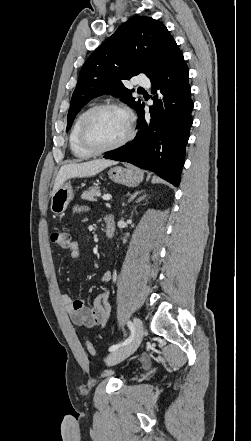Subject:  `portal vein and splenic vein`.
<instances>
[{"label":"portal vein and splenic vein","instance_id":"18ae733b","mask_svg":"<svg viewBox=\"0 0 251 441\" xmlns=\"http://www.w3.org/2000/svg\"><path fill=\"white\" fill-rule=\"evenodd\" d=\"M111 198H112V196L110 194H105L102 196V199L105 201H109V200H111Z\"/></svg>","mask_w":251,"mask_h":441}]
</instances>
